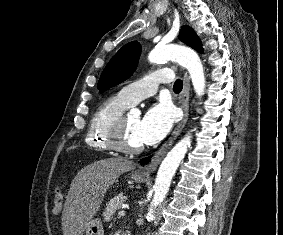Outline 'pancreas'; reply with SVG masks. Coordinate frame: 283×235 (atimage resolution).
Listing matches in <instances>:
<instances>
[{"instance_id":"pancreas-1","label":"pancreas","mask_w":283,"mask_h":235,"mask_svg":"<svg viewBox=\"0 0 283 235\" xmlns=\"http://www.w3.org/2000/svg\"><path fill=\"white\" fill-rule=\"evenodd\" d=\"M127 197L123 194H118L114 198L110 199L106 205V209L103 212V217L105 221H110L113 217V214L117 209L121 208V205L126 202Z\"/></svg>"}]
</instances>
